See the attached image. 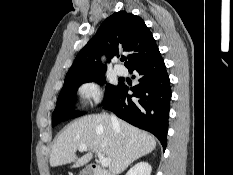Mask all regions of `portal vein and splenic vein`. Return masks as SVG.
Instances as JSON below:
<instances>
[{
    "label": "portal vein and splenic vein",
    "mask_w": 233,
    "mask_h": 175,
    "mask_svg": "<svg viewBox=\"0 0 233 175\" xmlns=\"http://www.w3.org/2000/svg\"><path fill=\"white\" fill-rule=\"evenodd\" d=\"M87 149H88V147L86 145H81L78 148V150L81 152L86 151ZM95 151L98 155V158H99L101 165L103 167H108L111 163V160L109 158L104 157V155H102L99 151H97V150H95Z\"/></svg>",
    "instance_id": "portal-vein-and-splenic-vein-1"
}]
</instances>
